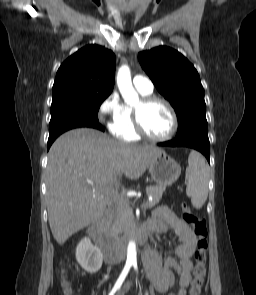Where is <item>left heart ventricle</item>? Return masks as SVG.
I'll return each mask as SVG.
<instances>
[{"label": "left heart ventricle", "instance_id": "obj_1", "mask_svg": "<svg viewBox=\"0 0 256 295\" xmlns=\"http://www.w3.org/2000/svg\"><path fill=\"white\" fill-rule=\"evenodd\" d=\"M134 108L139 110L141 123L150 135L163 137L170 132L172 119L164 105L153 103L143 107L139 101Z\"/></svg>", "mask_w": 256, "mask_h": 295}]
</instances>
